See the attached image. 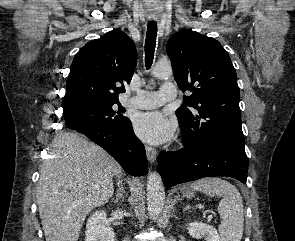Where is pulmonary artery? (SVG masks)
<instances>
[{
  "instance_id": "1",
  "label": "pulmonary artery",
  "mask_w": 295,
  "mask_h": 241,
  "mask_svg": "<svg viewBox=\"0 0 295 241\" xmlns=\"http://www.w3.org/2000/svg\"><path fill=\"white\" fill-rule=\"evenodd\" d=\"M176 95L177 90L175 85L167 82L163 83L158 91H137L136 95L130 99L129 104L139 109H151L173 100Z\"/></svg>"
}]
</instances>
